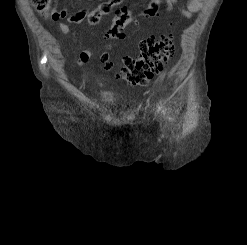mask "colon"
Here are the masks:
<instances>
[{"mask_svg": "<svg viewBox=\"0 0 247 245\" xmlns=\"http://www.w3.org/2000/svg\"><path fill=\"white\" fill-rule=\"evenodd\" d=\"M35 9L42 15H47L52 0H30ZM122 0H106L101 2L87 15L90 25H96L100 19L109 14ZM117 32L109 29L107 37L115 39ZM140 53L128 56L123 60L124 66L117 70V77L131 85H146L155 74L161 72L168 61L175 54V38L172 34L161 37L143 39L140 44ZM102 62L107 69L113 68L107 54L102 55Z\"/></svg>", "mask_w": 247, "mask_h": 245, "instance_id": "1", "label": "colon"}]
</instances>
